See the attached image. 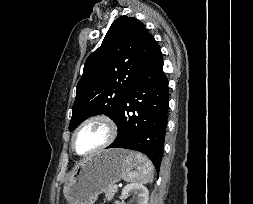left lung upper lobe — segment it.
Returning a JSON list of instances; mask_svg holds the SVG:
<instances>
[{"label":"left lung upper lobe","instance_id":"left-lung-upper-lobe-1","mask_svg":"<svg viewBox=\"0 0 253 204\" xmlns=\"http://www.w3.org/2000/svg\"><path fill=\"white\" fill-rule=\"evenodd\" d=\"M156 46L154 37L138 19L117 18L101 46L86 59L69 130L98 114L116 121Z\"/></svg>","mask_w":253,"mask_h":204}]
</instances>
